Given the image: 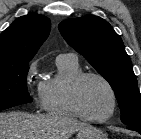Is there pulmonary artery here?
<instances>
[{"label":"pulmonary artery","instance_id":"pulmonary-artery-1","mask_svg":"<svg viewBox=\"0 0 141 139\" xmlns=\"http://www.w3.org/2000/svg\"><path fill=\"white\" fill-rule=\"evenodd\" d=\"M61 58H76V57L73 54H61L57 57V59H61Z\"/></svg>","mask_w":141,"mask_h":139}]
</instances>
